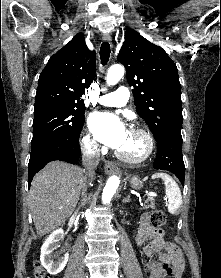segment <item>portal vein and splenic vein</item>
Here are the masks:
<instances>
[{
    "instance_id": "1",
    "label": "portal vein and splenic vein",
    "mask_w": 221,
    "mask_h": 278,
    "mask_svg": "<svg viewBox=\"0 0 221 278\" xmlns=\"http://www.w3.org/2000/svg\"><path fill=\"white\" fill-rule=\"evenodd\" d=\"M148 195H149V196H156L155 193H149Z\"/></svg>"
}]
</instances>
